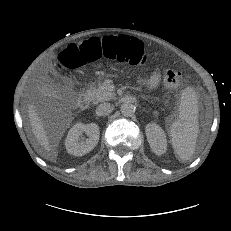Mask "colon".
I'll return each instance as SVG.
<instances>
[{
	"instance_id": "colon-1",
	"label": "colon",
	"mask_w": 231,
	"mask_h": 231,
	"mask_svg": "<svg viewBox=\"0 0 231 231\" xmlns=\"http://www.w3.org/2000/svg\"><path fill=\"white\" fill-rule=\"evenodd\" d=\"M102 58L133 66L149 63L143 43L127 35L92 38L79 47H68L59 55L57 63L62 69H74ZM180 82V72L172 68L166 69L164 73L166 87L176 88Z\"/></svg>"
}]
</instances>
